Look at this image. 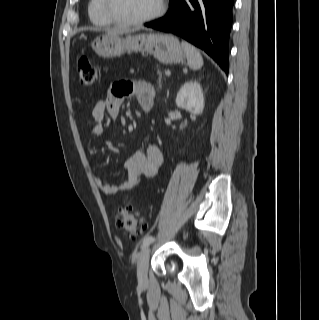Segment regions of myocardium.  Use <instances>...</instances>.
<instances>
[{"mask_svg": "<svg viewBox=\"0 0 319 320\" xmlns=\"http://www.w3.org/2000/svg\"><path fill=\"white\" fill-rule=\"evenodd\" d=\"M103 9L106 16L115 24L119 25H139L144 24L161 17L166 10V0H160L159 6L152 14L136 19H125L119 17L112 9V0H103Z\"/></svg>", "mask_w": 319, "mask_h": 320, "instance_id": "myocardium-1", "label": "myocardium"}]
</instances>
